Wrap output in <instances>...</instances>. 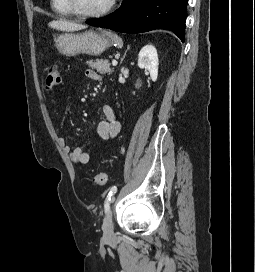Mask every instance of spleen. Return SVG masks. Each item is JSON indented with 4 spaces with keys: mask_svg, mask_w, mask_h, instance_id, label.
<instances>
[{
    "mask_svg": "<svg viewBox=\"0 0 255 272\" xmlns=\"http://www.w3.org/2000/svg\"><path fill=\"white\" fill-rule=\"evenodd\" d=\"M104 33L107 36H109L117 44L118 47H122L123 46V41H122V39L118 35L110 32V31H105Z\"/></svg>",
    "mask_w": 255,
    "mask_h": 272,
    "instance_id": "spleen-1",
    "label": "spleen"
}]
</instances>
